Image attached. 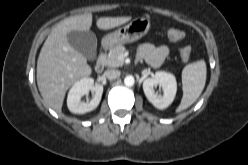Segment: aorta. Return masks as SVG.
Returning a JSON list of instances; mask_svg holds the SVG:
<instances>
[{
  "instance_id": "762f6f07",
  "label": "aorta",
  "mask_w": 248,
  "mask_h": 165,
  "mask_svg": "<svg viewBox=\"0 0 248 165\" xmlns=\"http://www.w3.org/2000/svg\"><path fill=\"white\" fill-rule=\"evenodd\" d=\"M124 83L126 86H133L135 83V79L133 76L128 75L124 78Z\"/></svg>"
}]
</instances>
